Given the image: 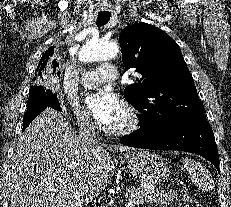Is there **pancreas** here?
<instances>
[{
    "mask_svg": "<svg viewBox=\"0 0 231 207\" xmlns=\"http://www.w3.org/2000/svg\"><path fill=\"white\" fill-rule=\"evenodd\" d=\"M129 195V201L135 204L147 202L149 204L156 203L160 205H169L176 198V192L174 190H162V189H146L132 187L127 190Z\"/></svg>",
    "mask_w": 231,
    "mask_h": 207,
    "instance_id": "cf45deb5",
    "label": "pancreas"
}]
</instances>
